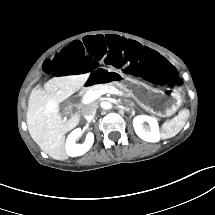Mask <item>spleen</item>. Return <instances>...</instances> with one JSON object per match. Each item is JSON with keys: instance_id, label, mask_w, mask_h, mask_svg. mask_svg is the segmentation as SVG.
Instances as JSON below:
<instances>
[{"instance_id": "obj_1", "label": "spleen", "mask_w": 215, "mask_h": 215, "mask_svg": "<svg viewBox=\"0 0 215 215\" xmlns=\"http://www.w3.org/2000/svg\"><path fill=\"white\" fill-rule=\"evenodd\" d=\"M183 112L184 111H181L178 116L164 122L161 129L162 139H168V138L174 137L181 131V129L186 123V120H184V118L182 117Z\"/></svg>"}]
</instances>
